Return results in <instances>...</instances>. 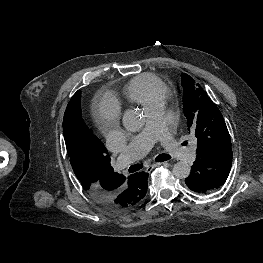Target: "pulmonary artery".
Listing matches in <instances>:
<instances>
[{
    "mask_svg": "<svg viewBox=\"0 0 263 263\" xmlns=\"http://www.w3.org/2000/svg\"><path fill=\"white\" fill-rule=\"evenodd\" d=\"M148 119L145 128L127 145L118 157L117 167H127L140 159L152 148L156 141H161L165 149L178 159L193 162L196 157L194 145L183 148L177 144L168 132L164 118V101H160L147 110Z\"/></svg>",
    "mask_w": 263,
    "mask_h": 263,
    "instance_id": "1",
    "label": "pulmonary artery"
}]
</instances>
